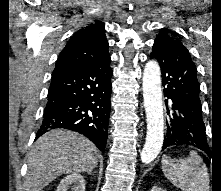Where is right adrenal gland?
Instances as JSON below:
<instances>
[{
    "mask_svg": "<svg viewBox=\"0 0 221 191\" xmlns=\"http://www.w3.org/2000/svg\"><path fill=\"white\" fill-rule=\"evenodd\" d=\"M88 174H89V175H93V174H92V171H89Z\"/></svg>",
    "mask_w": 221,
    "mask_h": 191,
    "instance_id": "2a0ac1e0",
    "label": "right adrenal gland"
}]
</instances>
